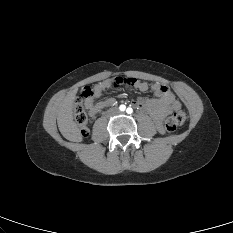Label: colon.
I'll list each match as a JSON object with an SVG mask.
<instances>
[{
    "label": "colon",
    "instance_id": "colon-1",
    "mask_svg": "<svg viewBox=\"0 0 233 233\" xmlns=\"http://www.w3.org/2000/svg\"><path fill=\"white\" fill-rule=\"evenodd\" d=\"M136 83L134 78H123L116 77L112 80H108L100 89L85 87L80 96L77 97L74 106V119L79 126L80 133L82 136H87L88 134V117L87 112L89 111L90 105L93 100L101 95L102 91L106 87H133ZM187 118V114L184 110H175L165 121L164 128L167 132L175 131L179 126H181Z\"/></svg>",
    "mask_w": 233,
    "mask_h": 233
}]
</instances>
